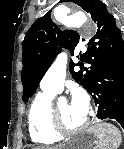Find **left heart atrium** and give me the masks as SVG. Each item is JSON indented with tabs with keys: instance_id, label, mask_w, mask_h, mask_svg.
<instances>
[{
	"instance_id": "obj_1",
	"label": "left heart atrium",
	"mask_w": 124,
	"mask_h": 149,
	"mask_svg": "<svg viewBox=\"0 0 124 149\" xmlns=\"http://www.w3.org/2000/svg\"><path fill=\"white\" fill-rule=\"evenodd\" d=\"M70 105L73 110L87 116L89 112V99L82 89L73 91Z\"/></svg>"
}]
</instances>
